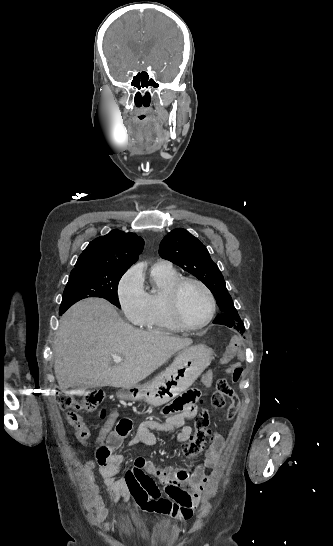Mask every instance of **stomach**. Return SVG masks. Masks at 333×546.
Instances as JSON below:
<instances>
[{"mask_svg":"<svg viewBox=\"0 0 333 546\" xmlns=\"http://www.w3.org/2000/svg\"><path fill=\"white\" fill-rule=\"evenodd\" d=\"M213 350L206 345L191 346L179 352L174 362L151 382L124 387L117 398L127 401L146 400L153 406L163 405L187 390L210 365Z\"/></svg>","mask_w":333,"mask_h":546,"instance_id":"1","label":"stomach"}]
</instances>
